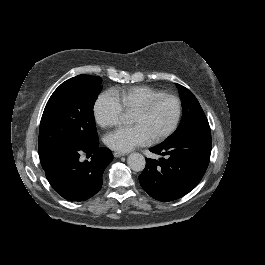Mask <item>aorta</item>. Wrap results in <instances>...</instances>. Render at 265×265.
I'll use <instances>...</instances> for the list:
<instances>
[{
    "label": "aorta",
    "mask_w": 265,
    "mask_h": 265,
    "mask_svg": "<svg viewBox=\"0 0 265 265\" xmlns=\"http://www.w3.org/2000/svg\"><path fill=\"white\" fill-rule=\"evenodd\" d=\"M127 164L133 171L140 172L144 170L146 162L142 154L134 152L128 156Z\"/></svg>",
    "instance_id": "obj_1"
}]
</instances>
